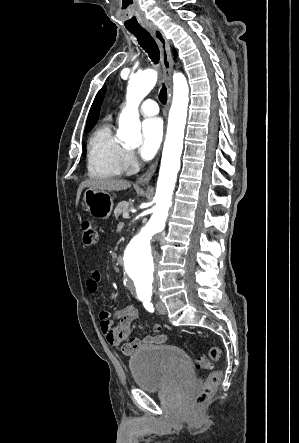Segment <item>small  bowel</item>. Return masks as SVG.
<instances>
[{
	"label": "small bowel",
	"mask_w": 299,
	"mask_h": 443,
	"mask_svg": "<svg viewBox=\"0 0 299 443\" xmlns=\"http://www.w3.org/2000/svg\"><path fill=\"white\" fill-rule=\"evenodd\" d=\"M101 282V273L99 270H93L89 278L86 280V290L90 294L98 291ZM100 319L101 331L107 342L113 346H121L124 354H129L133 350L144 347L162 344L167 337L160 334L162 325L157 323L152 327L154 335L144 337H131L132 324L138 318V311L133 305H125L111 314L108 311L101 310L98 313Z\"/></svg>",
	"instance_id": "1"
}]
</instances>
